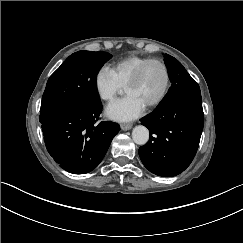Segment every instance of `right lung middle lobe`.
<instances>
[{
    "label": "right lung middle lobe",
    "instance_id": "1",
    "mask_svg": "<svg viewBox=\"0 0 243 243\" xmlns=\"http://www.w3.org/2000/svg\"><path fill=\"white\" fill-rule=\"evenodd\" d=\"M111 57V54L102 51H78L70 55L50 76L40 113L67 101L100 104L96 78L101 67Z\"/></svg>",
    "mask_w": 243,
    "mask_h": 243
}]
</instances>
